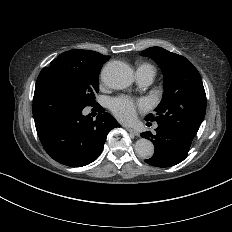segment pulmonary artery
Listing matches in <instances>:
<instances>
[{"label":"pulmonary artery","instance_id":"pulmonary-artery-1","mask_svg":"<svg viewBox=\"0 0 232 232\" xmlns=\"http://www.w3.org/2000/svg\"><path fill=\"white\" fill-rule=\"evenodd\" d=\"M153 78H154V72L152 67L149 65H142L138 69L136 85L140 89H147L150 87Z\"/></svg>","mask_w":232,"mask_h":232}]
</instances>
